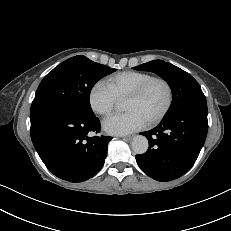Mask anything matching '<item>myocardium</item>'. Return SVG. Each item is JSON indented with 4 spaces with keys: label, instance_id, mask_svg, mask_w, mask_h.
<instances>
[{
    "label": "myocardium",
    "instance_id": "f54148a6",
    "mask_svg": "<svg viewBox=\"0 0 231 231\" xmlns=\"http://www.w3.org/2000/svg\"><path fill=\"white\" fill-rule=\"evenodd\" d=\"M155 83H161L164 85L167 92V98L162 110L156 116L148 120V123L150 125L160 123L170 112L174 101V91L171 83L164 77L152 76L150 79H148L146 82H144L141 86H139L137 89H135L127 96V98L130 99H140L148 92L150 87Z\"/></svg>",
    "mask_w": 231,
    "mask_h": 231
}]
</instances>
